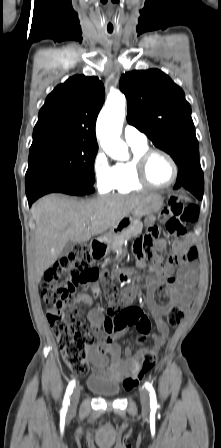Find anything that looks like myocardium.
I'll list each match as a JSON object with an SVG mask.
<instances>
[{"instance_id": "1", "label": "myocardium", "mask_w": 221, "mask_h": 448, "mask_svg": "<svg viewBox=\"0 0 221 448\" xmlns=\"http://www.w3.org/2000/svg\"><path fill=\"white\" fill-rule=\"evenodd\" d=\"M162 155L164 156L172 165L174 174L172 179L166 184H155L151 181L148 176V165L150 159L154 155ZM135 169H136V178L137 180L144 186L151 187L154 189H165L172 186L178 179L179 176V166L176 160L173 158L171 154L162 150V149H147L142 154H140L135 161Z\"/></svg>"}]
</instances>
